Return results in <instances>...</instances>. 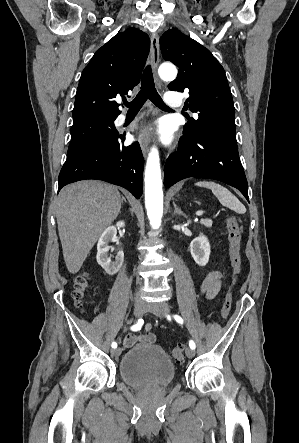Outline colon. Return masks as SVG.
I'll use <instances>...</instances> for the list:
<instances>
[{
	"mask_svg": "<svg viewBox=\"0 0 299 443\" xmlns=\"http://www.w3.org/2000/svg\"><path fill=\"white\" fill-rule=\"evenodd\" d=\"M226 227L228 230V244H229V256L231 265L234 272V282L239 278L242 270V257H241V239L242 230L234 216H230L226 221ZM89 288V280L87 274H80L75 280L74 290L72 293L73 299L77 306H81L83 299ZM233 296L232 293H227L223 306L221 309V319L224 320L228 317L232 307ZM185 347L183 345H177L172 350V356L175 360H181L184 355Z\"/></svg>",
	"mask_w": 299,
	"mask_h": 443,
	"instance_id": "obj_1",
	"label": "colon"
}]
</instances>
